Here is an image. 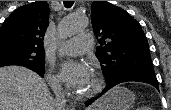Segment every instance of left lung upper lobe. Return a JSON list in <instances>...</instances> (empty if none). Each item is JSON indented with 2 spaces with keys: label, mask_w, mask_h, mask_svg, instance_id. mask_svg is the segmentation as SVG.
Instances as JSON below:
<instances>
[{
  "label": "left lung upper lobe",
  "mask_w": 171,
  "mask_h": 110,
  "mask_svg": "<svg viewBox=\"0 0 171 110\" xmlns=\"http://www.w3.org/2000/svg\"><path fill=\"white\" fill-rule=\"evenodd\" d=\"M91 10L94 33L101 36L96 56L106 83L131 73L155 74L140 24L125 10L107 1H93Z\"/></svg>",
  "instance_id": "1"
}]
</instances>
